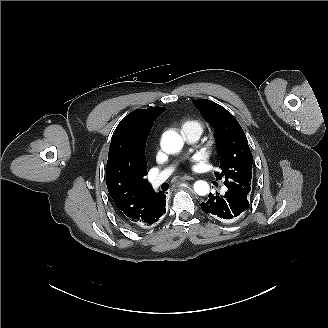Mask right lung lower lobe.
<instances>
[{"mask_svg": "<svg viewBox=\"0 0 328 328\" xmlns=\"http://www.w3.org/2000/svg\"><path fill=\"white\" fill-rule=\"evenodd\" d=\"M166 195L163 192H159L154 199L153 206L150 213L139 221L136 225H129L132 228L148 229L155 226L162 218V215L166 213ZM123 220V219H122ZM125 222V221H124Z\"/></svg>", "mask_w": 328, "mask_h": 328, "instance_id": "obj_1", "label": "right lung lower lobe"}]
</instances>
